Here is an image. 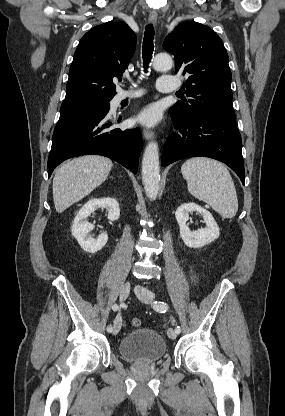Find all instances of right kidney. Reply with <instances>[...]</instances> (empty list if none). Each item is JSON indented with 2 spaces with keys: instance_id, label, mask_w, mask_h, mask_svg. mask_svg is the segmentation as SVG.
Masks as SVG:
<instances>
[{
  "instance_id": "right-kidney-1",
  "label": "right kidney",
  "mask_w": 285,
  "mask_h": 416,
  "mask_svg": "<svg viewBox=\"0 0 285 416\" xmlns=\"http://www.w3.org/2000/svg\"><path fill=\"white\" fill-rule=\"evenodd\" d=\"M97 208H106V210H108V220H110V222H114V220L120 218L119 204L114 198H100V200L94 198V200H89L87 204L82 206L81 210H79L74 218L71 232L82 250H84V252H89V254H95V252L104 248L108 240V234H106V232L100 234L98 238H92L89 234L91 230H94L95 226L89 224L87 218L90 214H93L94 210H97Z\"/></svg>"
}]
</instances>
